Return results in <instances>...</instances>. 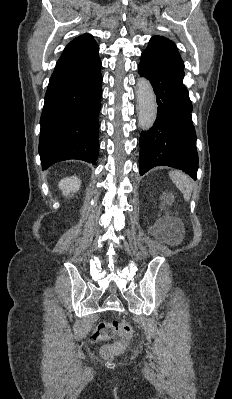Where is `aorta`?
<instances>
[{"mask_svg": "<svg viewBox=\"0 0 232 399\" xmlns=\"http://www.w3.org/2000/svg\"><path fill=\"white\" fill-rule=\"evenodd\" d=\"M137 103L139 107L138 123L143 130H148L154 124L157 114V104L151 83L145 78L137 82Z\"/></svg>", "mask_w": 232, "mask_h": 399, "instance_id": "aorta-1", "label": "aorta"}]
</instances>
